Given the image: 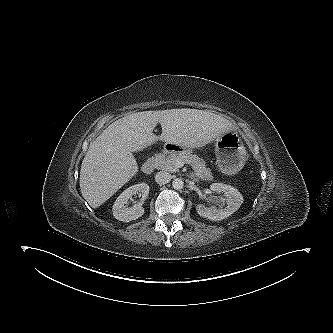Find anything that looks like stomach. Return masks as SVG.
<instances>
[{"label": "stomach", "instance_id": "0dacf381", "mask_svg": "<svg viewBox=\"0 0 333 333\" xmlns=\"http://www.w3.org/2000/svg\"><path fill=\"white\" fill-rule=\"evenodd\" d=\"M215 153L218 169L224 175H235L243 168L246 161L245 148L233 131H229L215 140Z\"/></svg>", "mask_w": 333, "mask_h": 333}]
</instances>
